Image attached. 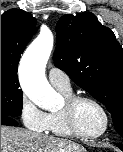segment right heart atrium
<instances>
[{
  "label": "right heart atrium",
  "mask_w": 123,
  "mask_h": 152,
  "mask_svg": "<svg viewBox=\"0 0 123 152\" xmlns=\"http://www.w3.org/2000/svg\"><path fill=\"white\" fill-rule=\"evenodd\" d=\"M19 116L27 129L34 132L47 130L48 114L39 109L26 95L21 98Z\"/></svg>",
  "instance_id": "obj_1"
}]
</instances>
